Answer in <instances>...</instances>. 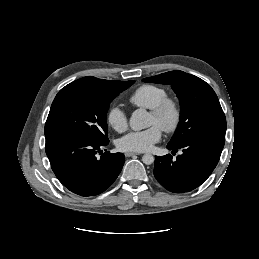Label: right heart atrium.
Returning <instances> with one entry per match:
<instances>
[{
  "instance_id": "obj_1",
  "label": "right heart atrium",
  "mask_w": 259,
  "mask_h": 259,
  "mask_svg": "<svg viewBox=\"0 0 259 259\" xmlns=\"http://www.w3.org/2000/svg\"><path fill=\"white\" fill-rule=\"evenodd\" d=\"M106 120L117 132H124L127 129V115L119 106H113L108 110Z\"/></svg>"
}]
</instances>
